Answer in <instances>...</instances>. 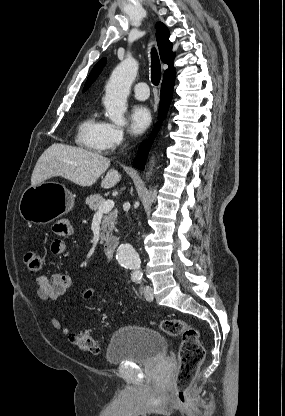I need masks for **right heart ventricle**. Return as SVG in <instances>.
Instances as JSON below:
<instances>
[{
	"instance_id": "1",
	"label": "right heart ventricle",
	"mask_w": 285,
	"mask_h": 416,
	"mask_svg": "<svg viewBox=\"0 0 285 416\" xmlns=\"http://www.w3.org/2000/svg\"><path fill=\"white\" fill-rule=\"evenodd\" d=\"M105 128V121L97 111L87 113L78 127L77 143L93 152L101 151V136Z\"/></svg>"
}]
</instances>
